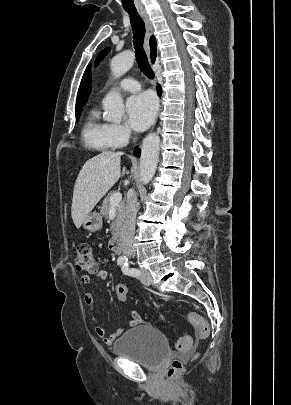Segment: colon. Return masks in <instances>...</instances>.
<instances>
[{
  "mask_svg": "<svg viewBox=\"0 0 291 405\" xmlns=\"http://www.w3.org/2000/svg\"><path fill=\"white\" fill-rule=\"evenodd\" d=\"M74 265L78 271H84L88 273H96L98 271V262L89 244L82 243L78 245ZM115 293L118 300L122 302L127 300L128 288L125 282L118 281L116 283ZM188 320L197 330L201 339L205 340L209 337L210 326L208 321L203 316L194 312H190L188 314ZM191 343L192 339L190 336L181 337L177 342V348L180 351H186L191 346ZM182 367V361L179 359H175L168 371V376L171 378L176 376L182 370Z\"/></svg>",
  "mask_w": 291,
  "mask_h": 405,
  "instance_id": "colon-1",
  "label": "colon"
}]
</instances>
